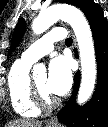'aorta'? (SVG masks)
Listing matches in <instances>:
<instances>
[{
	"mask_svg": "<svg viewBox=\"0 0 108 127\" xmlns=\"http://www.w3.org/2000/svg\"><path fill=\"white\" fill-rule=\"evenodd\" d=\"M58 20L70 24L77 39L81 60V84L77 102L82 105L92 95L96 82V60L92 32L82 12L78 8L67 4L53 5L41 11L33 20L32 30L35 34H41ZM41 70H45V68L35 65L33 75Z\"/></svg>",
	"mask_w": 108,
	"mask_h": 127,
	"instance_id": "obj_1",
	"label": "aorta"
}]
</instances>
